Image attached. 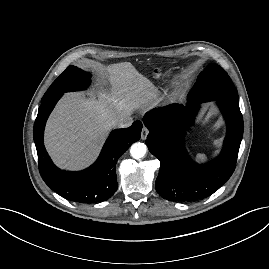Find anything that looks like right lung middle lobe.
<instances>
[{"instance_id": "1", "label": "right lung middle lobe", "mask_w": 269, "mask_h": 269, "mask_svg": "<svg viewBox=\"0 0 269 269\" xmlns=\"http://www.w3.org/2000/svg\"><path fill=\"white\" fill-rule=\"evenodd\" d=\"M90 84V75L82 69L70 65L52 83L42 98V102L69 91L84 90Z\"/></svg>"}]
</instances>
